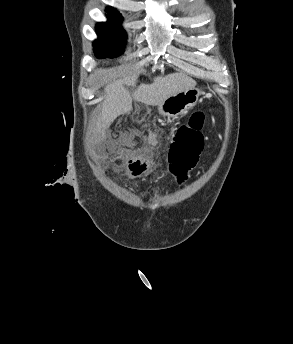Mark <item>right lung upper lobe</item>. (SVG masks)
<instances>
[{
  "instance_id": "1",
  "label": "right lung upper lobe",
  "mask_w": 293,
  "mask_h": 344,
  "mask_svg": "<svg viewBox=\"0 0 293 344\" xmlns=\"http://www.w3.org/2000/svg\"><path fill=\"white\" fill-rule=\"evenodd\" d=\"M107 10H113V8H112V7H108ZM114 11H115V10H114Z\"/></svg>"
}]
</instances>
